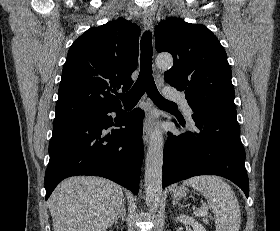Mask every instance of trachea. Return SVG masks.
Here are the masks:
<instances>
[{"mask_svg": "<svg viewBox=\"0 0 280 231\" xmlns=\"http://www.w3.org/2000/svg\"><path fill=\"white\" fill-rule=\"evenodd\" d=\"M141 56H140V73L137 81L127 93L118 94L126 106H134L145 93L158 106V108L166 110H177L176 103L169 102L156 88L154 78L152 76V35L150 31L143 34L141 39Z\"/></svg>", "mask_w": 280, "mask_h": 231, "instance_id": "obj_1", "label": "trachea"}]
</instances>
